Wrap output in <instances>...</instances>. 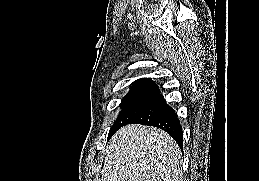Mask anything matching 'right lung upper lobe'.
<instances>
[{"label": "right lung upper lobe", "mask_w": 259, "mask_h": 181, "mask_svg": "<svg viewBox=\"0 0 259 181\" xmlns=\"http://www.w3.org/2000/svg\"><path fill=\"white\" fill-rule=\"evenodd\" d=\"M155 82L150 78H140L132 83V86H155Z\"/></svg>", "instance_id": "obj_1"}]
</instances>
